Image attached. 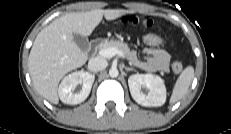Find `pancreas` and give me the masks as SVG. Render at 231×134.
<instances>
[{"mask_svg":"<svg viewBox=\"0 0 231 134\" xmlns=\"http://www.w3.org/2000/svg\"><path fill=\"white\" fill-rule=\"evenodd\" d=\"M110 47H115L119 50H121L125 56L130 59L132 52L130 50V48L128 47V45L126 43H123L121 41L118 40H105L104 42H102L99 45V50L101 49H106V48H110Z\"/></svg>","mask_w":231,"mask_h":134,"instance_id":"obj_1","label":"pancreas"}]
</instances>
